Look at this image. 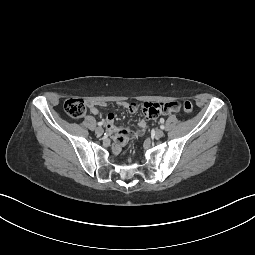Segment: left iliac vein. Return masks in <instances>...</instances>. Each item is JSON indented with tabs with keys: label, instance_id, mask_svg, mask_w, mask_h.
<instances>
[{
	"label": "left iliac vein",
	"instance_id": "left-iliac-vein-1",
	"mask_svg": "<svg viewBox=\"0 0 255 255\" xmlns=\"http://www.w3.org/2000/svg\"><path fill=\"white\" fill-rule=\"evenodd\" d=\"M164 136V132L162 131V130H160V129H157L156 131H155V137L156 138H161V137H163Z\"/></svg>",
	"mask_w": 255,
	"mask_h": 255
}]
</instances>
